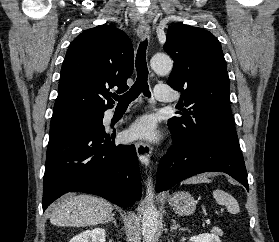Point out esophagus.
Here are the masks:
<instances>
[{
  "mask_svg": "<svg viewBox=\"0 0 279 242\" xmlns=\"http://www.w3.org/2000/svg\"><path fill=\"white\" fill-rule=\"evenodd\" d=\"M137 33L141 39H145L146 37H149L150 27L146 21H141L139 23ZM135 146H136V151L140 162L143 165L147 166L151 158L150 145L144 141H137Z\"/></svg>",
  "mask_w": 279,
  "mask_h": 242,
  "instance_id": "obj_1",
  "label": "esophagus"
}]
</instances>
